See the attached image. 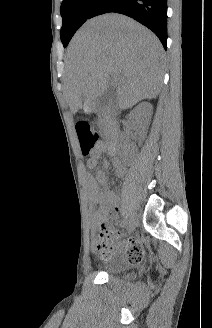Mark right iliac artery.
<instances>
[{
  "instance_id": "82829eb1",
  "label": "right iliac artery",
  "mask_w": 212,
  "mask_h": 328,
  "mask_svg": "<svg viewBox=\"0 0 212 328\" xmlns=\"http://www.w3.org/2000/svg\"><path fill=\"white\" fill-rule=\"evenodd\" d=\"M127 224H128V218H127V216H126V217H124V218L122 219V221H121V226L124 228V227L127 226Z\"/></svg>"
}]
</instances>
